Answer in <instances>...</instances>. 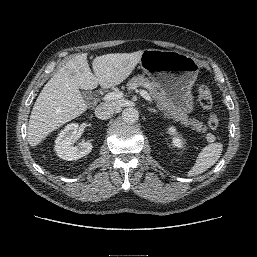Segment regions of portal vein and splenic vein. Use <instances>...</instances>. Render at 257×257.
Listing matches in <instances>:
<instances>
[{"mask_svg":"<svg viewBox=\"0 0 257 257\" xmlns=\"http://www.w3.org/2000/svg\"><path fill=\"white\" fill-rule=\"evenodd\" d=\"M139 93L144 99H146L148 102L152 103V98L146 90H140ZM122 97H123V93L121 91H118V92L116 91V92L107 93L103 97V100L104 101H113V100L120 99Z\"/></svg>","mask_w":257,"mask_h":257,"instance_id":"1","label":"portal vein and splenic vein"}]
</instances>
